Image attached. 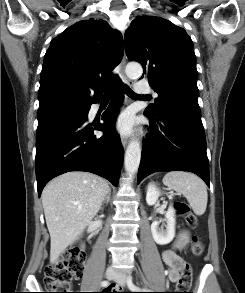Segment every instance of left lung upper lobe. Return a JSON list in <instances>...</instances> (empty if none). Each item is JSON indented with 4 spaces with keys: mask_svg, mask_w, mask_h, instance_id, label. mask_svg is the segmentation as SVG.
Masks as SVG:
<instances>
[{
    "mask_svg": "<svg viewBox=\"0 0 245 293\" xmlns=\"http://www.w3.org/2000/svg\"><path fill=\"white\" fill-rule=\"evenodd\" d=\"M125 48L159 95L146 112L157 115L163 108L179 107L200 114L196 57L184 29L161 17L138 16L125 32Z\"/></svg>",
    "mask_w": 245,
    "mask_h": 293,
    "instance_id": "5c2ea615",
    "label": "left lung upper lobe"
}]
</instances>
